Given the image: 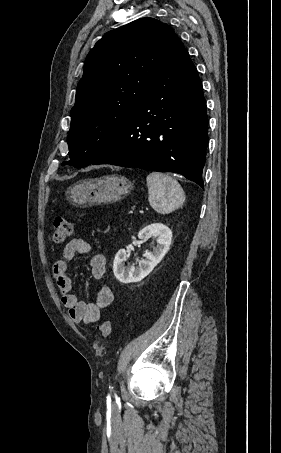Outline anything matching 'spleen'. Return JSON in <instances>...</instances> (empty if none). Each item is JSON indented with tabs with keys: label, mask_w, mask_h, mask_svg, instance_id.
<instances>
[{
	"label": "spleen",
	"mask_w": 281,
	"mask_h": 453,
	"mask_svg": "<svg viewBox=\"0 0 281 453\" xmlns=\"http://www.w3.org/2000/svg\"><path fill=\"white\" fill-rule=\"evenodd\" d=\"M147 186L149 204L161 214L176 210L185 200L179 194L182 186L173 176L164 172H150L147 176Z\"/></svg>",
	"instance_id": "spleen-1"
}]
</instances>
